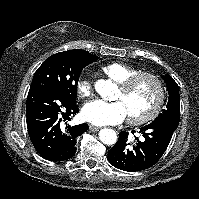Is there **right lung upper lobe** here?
<instances>
[{
	"mask_svg": "<svg viewBox=\"0 0 199 199\" xmlns=\"http://www.w3.org/2000/svg\"><path fill=\"white\" fill-rule=\"evenodd\" d=\"M65 53L70 54V55H77V56L89 54V52L81 50V49L68 50V51H65Z\"/></svg>",
	"mask_w": 199,
	"mask_h": 199,
	"instance_id": "cb5924a9",
	"label": "right lung upper lobe"
}]
</instances>
